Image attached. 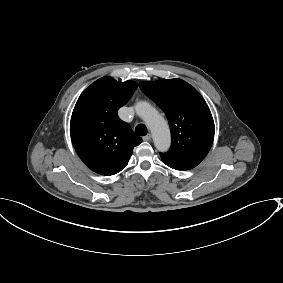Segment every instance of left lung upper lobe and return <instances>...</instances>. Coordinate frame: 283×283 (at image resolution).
Here are the masks:
<instances>
[{
    "mask_svg": "<svg viewBox=\"0 0 283 283\" xmlns=\"http://www.w3.org/2000/svg\"><path fill=\"white\" fill-rule=\"evenodd\" d=\"M141 90L165 112L172 143L160 153L166 165L189 170L208 154L214 139V121L199 92L181 79L145 81Z\"/></svg>",
    "mask_w": 283,
    "mask_h": 283,
    "instance_id": "obj_1",
    "label": "left lung upper lobe"
}]
</instances>
